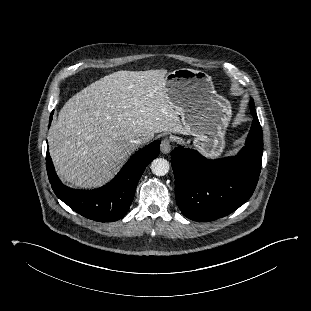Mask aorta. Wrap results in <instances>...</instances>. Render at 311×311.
Listing matches in <instances>:
<instances>
[{
	"mask_svg": "<svg viewBox=\"0 0 311 311\" xmlns=\"http://www.w3.org/2000/svg\"><path fill=\"white\" fill-rule=\"evenodd\" d=\"M151 171L157 176H164L169 171V162L164 158H157L151 163Z\"/></svg>",
	"mask_w": 311,
	"mask_h": 311,
	"instance_id": "aorta-1",
	"label": "aorta"
}]
</instances>
